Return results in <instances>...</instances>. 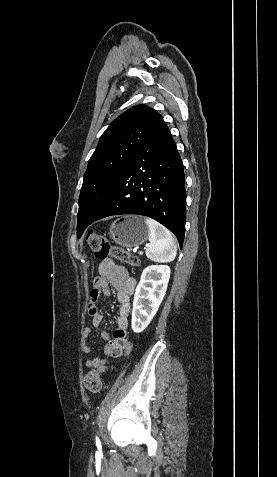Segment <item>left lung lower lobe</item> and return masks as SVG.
I'll return each instance as SVG.
<instances>
[{
  "mask_svg": "<svg viewBox=\"0 0 277 477\" xmlns=\"http://www.w3.org/2000/svg\"><path fill=\"white\" fill-rule=\"evenodd\" d=\"M185 176L176 144L166 126L125 164L91 223L112 215L139 214L172 231L182 247L185 234Z\"/></svg>",
  "mask_w": 277,
  "mask_h": 477,
  "instance_id": "obj_1",
  "label": "left lung lower lobe"
}]
</instances>
